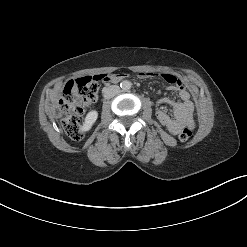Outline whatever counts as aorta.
I'll return each instance as SVG.
<instances>
[{
    "instance_id": "obj_1",
    "label": "aorta",
    "mask_w": 247,
    "mask_h": 247,
    "mask_svg": "<svg viewBox=\"0 0 247 247\" xmlns=\"http://www.w3.org/2000/svg\"><path fill=\"white\" fill-rule=\"evenodd\" d=\"M131 85H132L131 82L128 81V80H124V81H122L121 84H120L122 90H124V91L130 90Z\"/></svg>"
}]
</instances>
